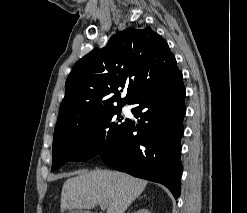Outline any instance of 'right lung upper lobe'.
<instances>
[{
    "mask_svg": "<svg viewBox=\"0 0 247 213\" xmlns=\"http://www.w3.org/2000/svg\"><path fill=\"white\" fill-rule=\"evenodd\" d=\"M167 42L150 27L126 29L78 60L65 85L54 136L129 103L144 87L176 67ZM123 88L127 94L121 98ZM114 94V95H113Z\"/></svg>",
    "mask_w": 247,
    "mask_h": 213,
    "instance_id": "obj_1",
    "label": "right lung upper lobe"
}]
</instances>
